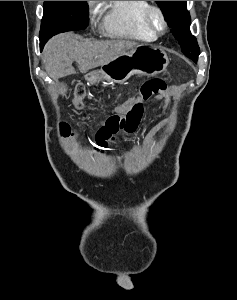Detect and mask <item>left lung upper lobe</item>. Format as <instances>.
I'll list each match as a JSON object with an SVG mask.
<instances>
[{
	"label": "left lung upper lobe",
	"mask_w": 237,
	"mask_h": 300,
	"mask_svg": "<svg viewBox=\"0 0 237 300\" xmlns=\"http://www.w3.org/2000/svg\"><path fill=\"white\" fill-rule=\"evenodd\" d=\"M156 3L162 9L168 25L173 28L172 34L182 46L185 56L196 62L200 49L189 29L191 20L187 11V1H156Z\"/></svg>",
	"instance_id": "left-lung-upper-lobe-1"
}]
</instances>
